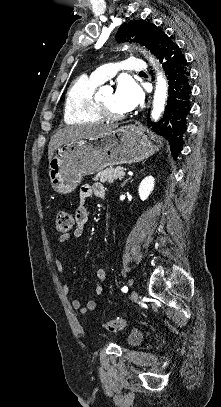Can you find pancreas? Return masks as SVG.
<instances>
[{
	"mask_svg": "<svg viewBox=\"0 0 221 407\" xmlns=\"http://www.w3.org/2000/svg\"><path fill=\"white\" fill-rule=\"evenodd\" d=\"M124 171L123 167H109L105 170L99 171L93 178L94 181L100 180L102 183H113L117 179H121L123 175L120 174Z\"/></svg>",
	"mask_w": 221,
	"mask_h": 407,
	"instance_id": "cf45deb5",
	"label": "pancreas"
}]
</instances>
